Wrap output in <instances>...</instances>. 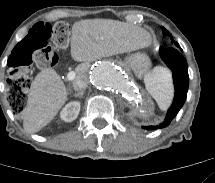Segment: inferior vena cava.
Listing matches in <instances>:
<instances>
[{
  "mask_svg": "<svg viewBox=\"0 0 215 183\" xmlns=\"http://www.w3.org/2000/svg\"><path fill=\"white\" fill-rule=\"evenodd\" d=\"M89 84V80L88 77L86 75H83L77 79H75V81L73 82V87L76 91H82L85 88H87Z\"/></svg>",
  "mask_w": 215,
  "mask_h": 183,
  "instance_id": "inferior-vena-cava-1",
  "label": "inferior vena cava"
}]
</instances>
